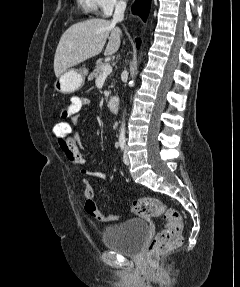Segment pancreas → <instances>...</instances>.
<instances>
[{"instance_id":"cf45deb5","label":"pancreas","mask_w":240,"mask_h":287,"mask_svg":"<svg viewBox=\"0 0 240 287\" xmlns=\"http://www.w3.org/2000/svg\"><path fill=\"white\" fill-rule=\"evenodd\" d=\"M105 65H106V63H104V62L98 63L95 66L93 72L89 75L88 79L89 80H93L94 78L95 79L98 78L102 74L103 68H104Z\"/></svg>"}]
</instances>
